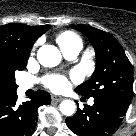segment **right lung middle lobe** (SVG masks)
<instances>
[{"mask_svg":"<svg viewBox=\"0 0 136 136\" xmlns=\"http://www.w3.org/2000/svg\"><path fill=\"white\" fill-rule=\"evenodd\" d=\"M28 56L20 57L13 52H0V97L16 93L15 71L25 68Z\"/></svg>","mask_w":136,"mask_h":136,"instance_id":"1","label":"right lung middle lobe"}]
</instances>
